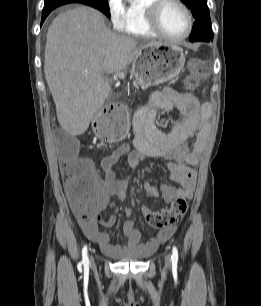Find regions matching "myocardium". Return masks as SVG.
Wrapping results in <instances>:
<instances>
[{
  "label": "myocardium",
  "mask_w": 261,
  "mask_h": 306,
  "mask_svg": "<svg viewBox=\"0 0 261 306\" xmlns=\"http://www.w3.org/2000/svg\"><path fill=\"white\" fill-rule=\"evenodd\" d=\"M166 3H174L178 5L184 12L187 19V30L179 37H173L164 32L159 23V12ZM147 22L150 28L160 37L172 41L180 42L185 40L192 32L193 18L190 9L181 0H152V2L146 7Z\"/></svg>",
  "instance_id": "obj_1"
}]
</instances>
